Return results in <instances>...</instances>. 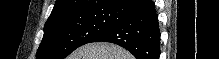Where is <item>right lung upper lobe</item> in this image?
I'll return each instance as SVG.
<instances>
[{
  "label": "right lung upper lobe",
  "instance_id": "obj_1",
  "mask_svg": "<svg viewBox=\"0 0 219 59\" xmlns=\"http://www.w3.org/2000/svg\"><path fill=\"white\" fill-rule=\"evenodd\" d=\"M123 0H56L54 8L47 21L72 14L94 10L112 9Z\"/></svg>",
  "mask_w": 219,
  "mask_h": 59
}]
</instances>
